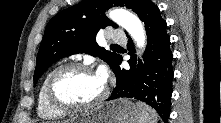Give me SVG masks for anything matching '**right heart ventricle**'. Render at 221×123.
Returning a JSON list of instances; mask_svg holds the SVG:
<instances>
[{
    "label": "right heart ventricle",
    "mask_w": 221,
    "mask_h": 123,
    "mask_svg": "<svg viewBox=\"0 0 221 123\" xmlns=\"http://www.w3.org/2000/svg\"><path fill=\"white\" fill-rule=\"evenodd\" d=\"M49 72L43 80L38 93L37 113L38 115L47 120L59 119L65 116L66 112L54 108L48 101L46 96V83L49 77Z\"/></svg>",
    "instance_id": "right-heart-ventricle-1"
}]
</instances>
